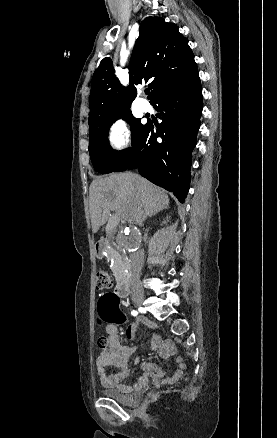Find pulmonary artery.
<instances>
[{
    "label": "pulmonary artery",
    "instance_id": "obj_1",
    "mask_svg": "<svg viewBox=\"0 0 277 438\" xmlns=\"http://www.w3.org/2000/svg\"><path fill=\"white\" fill-rule=\"evenodd\" d=\"M139 105L143 112H146L148 110L147 103L143 99L139 101Z\"/></svg>",
    "mask_w": 277,
    "mask_h": 438
}]
</instances>
